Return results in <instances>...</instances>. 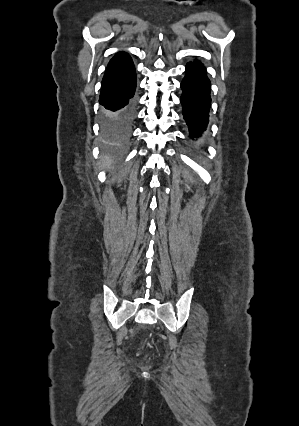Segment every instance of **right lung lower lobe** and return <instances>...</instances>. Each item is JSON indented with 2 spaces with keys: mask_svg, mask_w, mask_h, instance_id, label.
Returning <instances> with one entry per match:
<instances>
[{
  "mask_svg": "<svg viewBox=\"0 0 299 426\" xmlns=\"http://www.w3.org/2000/svg\"><path fill=\"white\" fill-rule=\"evenodd\" d=\"M136 73L130 56L117 53L105 71L99 103L102 105L104 130L125 137L131 130L136 114Z\"/></svg>",
  "mask_w": 299,
  "mask_h": 426,
  "instance_id": "right-lung-lower-lobe-1",
  "label": "right lung lower lobe"
}]
</instances>
